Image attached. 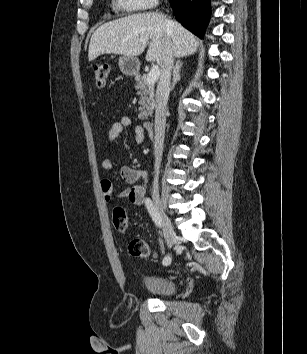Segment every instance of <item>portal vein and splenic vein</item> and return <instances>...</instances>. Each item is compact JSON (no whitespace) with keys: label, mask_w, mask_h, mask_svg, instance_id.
Returning <instances> with one entry per match:
<instances>
[{"label":"portal vein and splenic vein","mask_w":307,"mask_h":354,"mask_svg":"<svg viewBox=\"0 0 307 354\" xmlns=\"http://www.w3.org/2000/svg\"><path fill=\"white\" fill-rule=\"evenodd\" d=\"M159 75H160V70L158 65H153L151 71L147 75V83L154 84L158 80Z\"/></svg>","instance_id":"portal-vein-and-splenic-vein-1"}]
</instances>
